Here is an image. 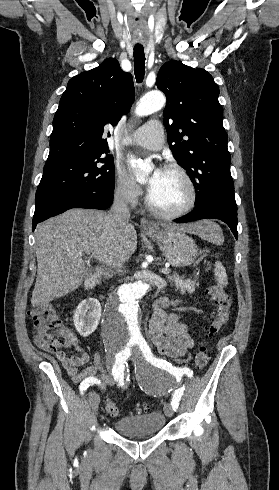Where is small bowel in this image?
<instances>
[{
  "label": "small bowel",
  "instance_id": "small-bowel-1",
  "mask_svg": "<svg viewBox=\"0 0 279 490\" xmlns=\"http://www.w3.org/2000/svg\"><path fill=\"white\" fill-rule=\"evenodd\" d=\"M176 304V301L167 298L156 301L147 329L148 337L158 351L170 358L184 355L193 346V340L188 334L187 326L179 320L176 313H167L165 310ZM70 345L78 352L77 356H68L65 352L59 351L56 353V358L74 383L79 384L82 388L90 387L98 379H101L106 385L112 383L110 377L104 372L99 352L93 353L91 365L79 371L80 367L89 362L90 355L83 351L78 339L73 335H71Z\"/></svg>",
  "mask_w": 279,
  "mask_h": 490
}]
</instances>
